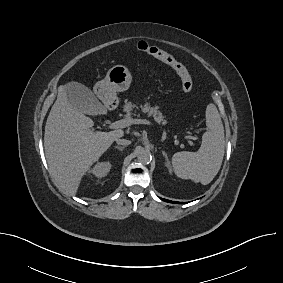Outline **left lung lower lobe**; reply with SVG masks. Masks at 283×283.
Segmentation results:
<instances>
[{"label": "left lung lower lobe", "instance_id": "0a47b994", "mask_svg": "<svg viewBox=\"0 0 283 283\" xmlns=\"http://www.w3.org/2000/svg\"><path fill=\"white\" fill-rule=\"evenodd\" d=\"M162 200H164L166 202H172V201H169V200H166V199H162ZM172 203H176V202H172Z\"/></svg>", "mask_w": 283, "mask_h": 283}]
</instances>
